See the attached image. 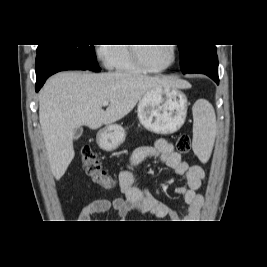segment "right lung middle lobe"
<instances>
[{"label":"right lung middle lobe","instance_id":"right-lung-middle-lobe-1","mask_svg":"<svg viewBox=\"0 0 267 267\" xmlns=\"http://www.w3.org/2000/svg\"><path fill=\"white\" fill-rule=\"evenodd\" d=\"M44 51H53L64 55L73 61L80 63L89 70L101 71L95 55L93 45H78V44H55V45H38L37 53Z\"/></svg>","mask_w":267,"mask_h":267}]
</instances>
